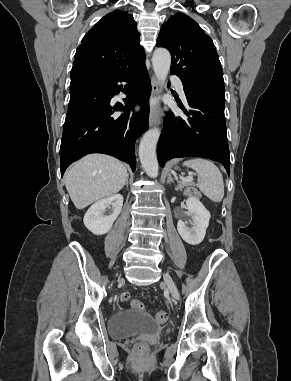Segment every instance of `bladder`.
<instances>
[{
  "label": "bladder",
  "mask_w": 291,
  "mask_h": 381,
  "mask_svg": "<svg viewBox=\"0 0 291 381\" xmlns=\"http://www.w3.org/2000/svg\"><path fill=\"white\" fill-rule=\"evenodd\" d=\"M159 329L160 326L150 315L139 310L122 309L109 317L108 332L115 339L151 334Z\"/></svg>",
  "instance_id": "1"
}]
</instances>
